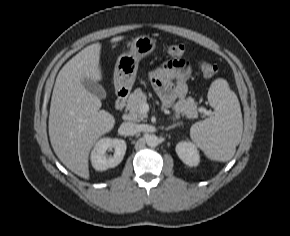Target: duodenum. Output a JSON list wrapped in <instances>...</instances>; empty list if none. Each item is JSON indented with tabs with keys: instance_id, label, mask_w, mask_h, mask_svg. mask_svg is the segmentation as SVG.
I'll return each instance as SVG.
<instances>
[{
	"instance_id": "duodenum-1",
	"label": "duodenum",
	"mask_w": 290,
	"mask_h": 236,
	"mask_svg": "<svg viewBox=\"0 0 290 236\" xmlns=\"http://www.w3.org/2000/svg\"><path fill=\"white\" fill-rule=\"evenodd\" d=\"M128 95H129L128 90L124 88L118 89L116 93V100L114 106L116 111H121L124 109Z\"/></svg>"
}]
</instances>
